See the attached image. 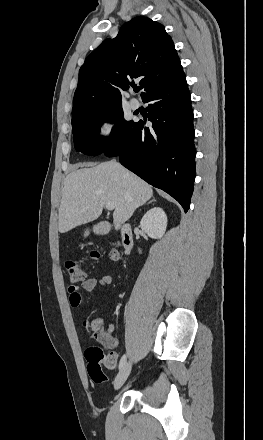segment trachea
<instances>
[{
    "instance_id": "trachea-1",
    "label": "trachea",
    "mask_w": 263,
    "mask_h": 440,
    "mask_svg": "<svg viewBox=\"0 0 263 440\" xmlns=\"http://www.w3.org/2000/svg\"><path fill=\"white\" fill-rule=\"evenodd\" d=\"M134 91H135V92H138V91H139V88H137V87L134 88Z\"/></svg>"
}]
</instances>
